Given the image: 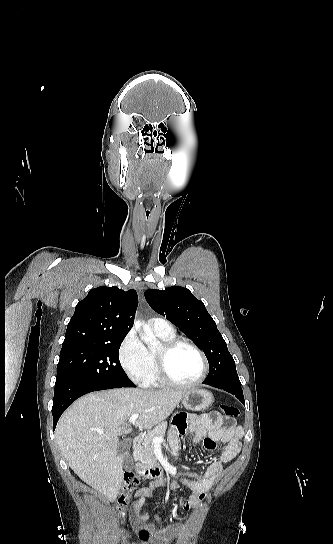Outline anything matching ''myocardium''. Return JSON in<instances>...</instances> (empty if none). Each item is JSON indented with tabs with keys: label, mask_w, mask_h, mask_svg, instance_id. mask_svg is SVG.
Returning a JSON list of instances; mask_svg holds the SVG:
<instances>
[{
	"label": "myocardium",
	"mask_w": 333,
	"mask_h": 544,
	"mask_svg": "<svg viewBox=\"0 0 333 544\" xmlns=\"http://www.w3.org/2000/svg\"><path fill=\"white\" fill-rule=\"evenodd\" d=\"M181 346H187L193 349L201 358L203 370L201 375L194 381L182 383L175 380L169 371L168 361L172 353ZM156 369L160 380L167 385L177 388H190L201 384L209 374V361L206 354L196 344L185 339H173L165 341L155 351Z\"/></svg>",
	"instance_id": "obj_1"
}]
</instances>
